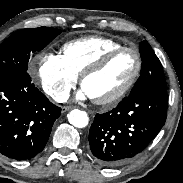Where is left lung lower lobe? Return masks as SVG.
Masks as SVG:
<instances>
[{
  "mask_svg": "<svg viewBox=\"0 0 183 183\" xmlns=\"http://www.w3.org/2000/svg\"><path fill=\"white\" fill-rule=\"evenodd\" d=\"M166 116L165 89H143L131 93L113 110L95 115L89 132L94 159L108 167L129 161L156 137Z\"/></svg>",
  "mask_w": 183,
  "mask_h": 183,
  "instance_id": "left-lung-lower-lobe-1",
  "label": "left lung lower lobe"
}]
</instances>
